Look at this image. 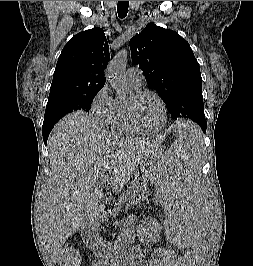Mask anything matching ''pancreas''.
<instances>
[{"instance_id":"obj_1","label":"pancreas","mask_w":253,"mask_h":266,"mask_svg":"<svg viewBox=\"0 0 253 266\" xmlns=\"http://www.w3.org/2000/svg\"><path fill=\"white\" fill-rule=\"evenodd\" d=\"M148 182L149 181L143 176L130 183L126 193L122 194L119 198L118 206L121 207V205L125 203L135 204L140 201H145L148 196Z\"/></svg>"}]
</instances>
